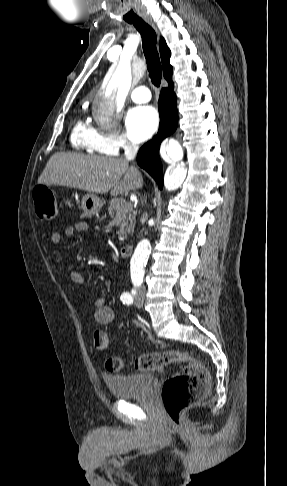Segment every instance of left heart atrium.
<instances>
[{"label":"left heart atrium","instance_id":"39dd6f15","mask_svg":"<svg viewBox=\"0 0 287 486\" xmlns=\"http://www.w3.org/2000/svg\"><path fill=\"white\" fill-rule=\"evenodd\" d=\"M158 122V113L152 106L132 108L125 120L128 134L135 142L148 139L157 129Z\"/></svg>","mask_w":287,"mask_h":486}]
</instances>
